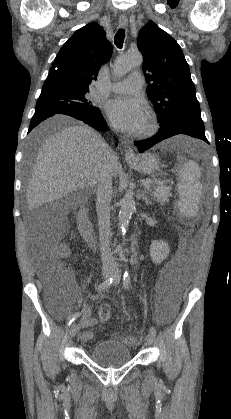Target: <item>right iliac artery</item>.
Here are the masks:
<instances>
[{
	"mask_svg": "<svg viewBox=\"0 0 231 419\" xmlns=\"http://www.w3.org/2000/svg\"><path fill=\"white\" fill-rule=\"evenodd\" d=\"M114 280H115L114 277H110L106 281H104L103 283L99 284L96 288L97 292H101L102 290L109 288L113 284ZM80 315H81V313H75L72 316H70L68 318V321H67V327L70 326L71 323L75 319H77Z\"/></svg>",
	"mask_w": 231,
	"mask_h": 419,
	"instance_id": "right-iliac-artery-1",
	"label": "right iliac artery"
}]
</instances>
